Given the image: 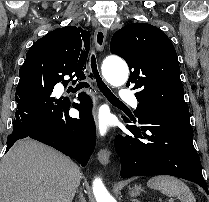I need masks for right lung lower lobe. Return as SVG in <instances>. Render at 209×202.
I'll return each instance as SVG.
<instances>
[{
  "label": "right lung lower lobe",
  "mask_w": 209,
  "mask_h": 202,
  "mask_svg": "<svg viewBox=\"0 0 209 202\" xmlns=\"http://www.w3.org/2000/svg\"><path fill=\"white\" fill-rule=\"evenodd\" d=\"M44 77L20 78L16 88L17 109L13 131L7 137V149L20 138L30 137L47 144L85 166L96 143L95 123L91 114V100L82 93L81 103L68 97H55L56 81L46 82ZM77 108L80 119L69 116V107Z\"/></svg>",
  "instance_id": "right-lung-lower-lobe-1"
}]
</instances>
